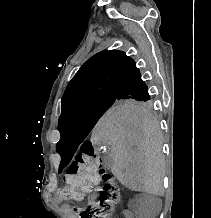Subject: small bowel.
<instances>
[{
  "label": "small bowel",
  "instance_id": "obj_1",
  "mask_svg": "<svg viewBox=\"0 0 211 218\" xmlns=\"http://www.w3.org/2000/svg\"><path fill=\"white\" fill-rule=\"evenodd\" d=\"M98 191H99V189H98V188H95V190H94V191L92 192V194L89 196V202L94 201V200L97 199V196H98L97 192H98ZM64 199H65V198H64V196H63V194H62V190L56 191V192L54 193V198H53V200H54L55 203H57V204H62V202L64 201ZM62 207H63V209H64L66 212H69V213H72V212H73L72 207H70V206L67 205V204H63ZM123 215H124L125 218H133V213H132L130 210H125V211L123 212Z\"/></svg>",
  "mask_w": 211,
  "mask_h": 218
}]
</instances>
